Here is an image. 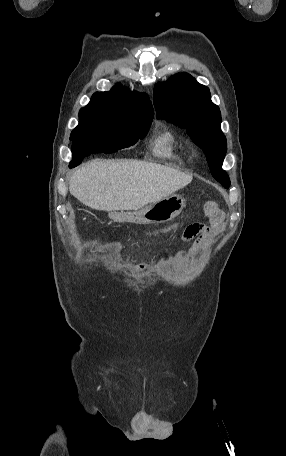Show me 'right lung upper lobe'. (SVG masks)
Instances as JSON below:
<instances>
[{
    "label": "right lung upper lobe",
    "mask_w": 286,
    "mask_h": 456,
    "mask_svg": "<svg viewBox=\"0 0 286 456\" xmlns=\"http://www.w3.org/2000/svg\"><path fill=\"white\" fill-rule=\"evenodd\" d=\"M84 109L108 111L131 118H152L153 107L148 96L131 92L120 84L108 92H96Z\"/></svg>",
    "instance_id": "1"
}]
</instances>
